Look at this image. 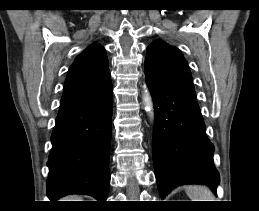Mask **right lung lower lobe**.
Instances as JSON below:
<instances>
[{
  "label": "right lung lower lobe",
  "mask_w": 259,
  "mask_h": 211,
  "mask_svg": "<svg viewBox=\"0 0 259 211\" xmlns=\"http://www.w3.org/2000/svg\"><path fill=\"white\" fill-rule=\"evenodd\" d=\"M112 104L111 84L90 98L60 106L47 162V195L52 202L68 194L106 200Z\"/></svg>",
  "instance_id": "right-lung-lower-lobe-1"
}]
</instances>
